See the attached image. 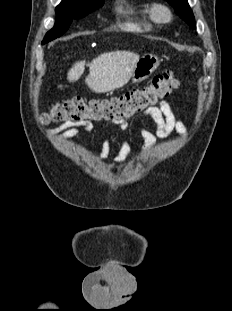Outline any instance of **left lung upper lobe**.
Returning a JSON list of instances; mask_svg holds the SVG:
<instances>
[{"label":"left lung upper lobe","mask_w":232,"mask_h":311,"mask_svg":"<svg viewBox=\"0 0 232 311\" xmlns=\"http://www.w3.org/2000/svg\"><path fill=\"white\" fill-rule=\"evenodd\" d=\"M171 4L175 12L186 22L188 25L196 29L195 19L192 10L189 7L187 0H166Z\"/></svg>","instance_id":"5c2ea615"}]
</instances>
